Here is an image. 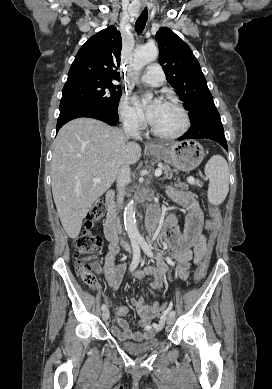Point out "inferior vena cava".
Here are the masks:
<instances>
[{"instance_id":"1","label":"inferior vena cava","mask_w":272,"mask_h":389,"mask_svg":"<svg viewBox=\"0 0 272 389\" xmlns=\"http://www.w3.org/2000/svg\"><path fill=\"white\" fill-rule=\"evenodd\" d=\"M123 132L125 133L126 138L129 137H134L137 139L140 138L139 127L136 123L132 122L131 120L124 121ZM129 181H130V168L128 165H123L117 177V189H118L117 201L119 204L123 202L124 187L127 183H129ZM121 245L125 250L130 252V246L126 241L122 240Z\"/></svg>"}]
</instances>
